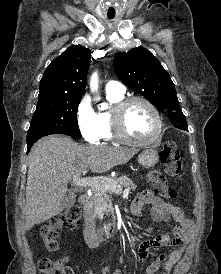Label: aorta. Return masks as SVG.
<instances>
[{
    "label": "aorta",
    "mask_w": 221,
    "mask_h": 274,
    "mask_svg": "<svg viewBox=\"0 0 221 274\" xmlns=\"http://www.w3.org/2000/svg\"><path fill=\"white\" fill-rule=\"evenodd\" d=\"M98 75L97 73H94L92 76H91V79H90V89L92 92H97L98 90Z\"/></svg>",
    "instance_id": "762f6f07"
}]
</instances>
